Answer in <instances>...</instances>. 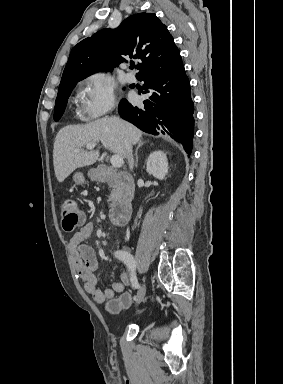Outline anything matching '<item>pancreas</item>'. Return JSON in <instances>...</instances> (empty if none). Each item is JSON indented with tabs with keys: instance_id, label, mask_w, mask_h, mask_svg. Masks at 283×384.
<instances>
[{
	"instance_id": "pancreas-1",
	"label": "pancreas",
	"mask_w": 283,
	"mask_h": 384,
	"mask_svg": "<svg viewBox=\"0 0 283 384\" xmlns=\"http://www.w3.org/2000/svg\"><path fill=\"white\" fill-rule=\"evenodd\" d=\"M116 170H112V168H108L106 178H113L115 176ZM101 182H105V180H101ZM113 190L109 196L108 202H112V204H109V208H113L115 206L116 202H118L120 198V188L118 186H112Z\"/></svg>"
}]
</instances>
